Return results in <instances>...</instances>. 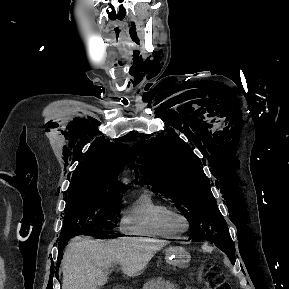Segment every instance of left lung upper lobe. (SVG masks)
Returning a JSON list of instances; mask_svg holds the SVG:
<instances>
[{
    "label": "left lung upper lobe",
    "mask_w": 289,
    "mask_h": 289,
    "mask_svg": "<svg viewBox=\"0 0 289 289\" xmlns=\"http://www.w3.org/2000/svg\"><path fill=\"white\" fill-rule=\"evenodd\" d=\"M139 145V144H138ZM144 182L172 199L191 223L190 239H205L235 263L233 241L203 172L199 158L176 134L141 141Z\"/></svg>",
    "instance_id": "1"
}]
</instances>
